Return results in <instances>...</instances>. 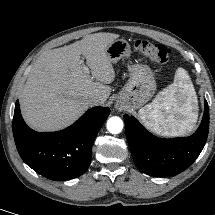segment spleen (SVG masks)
<instances>
[{"label": "spleen", "mask_w": 215, "mask_h": 215, "mask_svg": "<svg viewBox=\"0 0 215 215\" xmlns=\"http://www.w3.org/2000/svg\"><path fill=\"white\" fill-rule=\"evenodd\" d=\"M138 114L145 126L157 134L181 136L192 132L197 122V98L187 71L178 68L174 82Z\"/></svg>", "instance_id": "spleen-1"}]
</instances>
